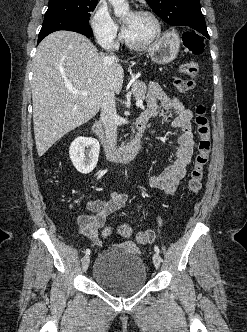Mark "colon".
I'll return each mask as SVG.
<instances>
[{
  "instance_id": "colon-1",
  "label": "colon",
  "mask_w": 247,
  "mask_h": 332,
  "mask_svg": "<svg viewBox=\"0 0 247 332\" xmlns=\"http://www.w3.org/2000/svg\"><path fill=\"white\" fill-rule=\"evenodd\" d=\"M183 44L193 55L201 54L205 48V41L202 35L191 30L183 34ZM179 73L180 77L175 79L174 86L178 93L185 94L192 90L195 85V78L199 73L198 63L194 60L185 62L179 67ZM194 122L198 135V144L194 164L188 180V188L191 193L197 194L202 187L204 168L208 163L211 151L209 120L203 104L197 105ZM111 233L112 230L110 227H105L102 230V235L105 238L109 237ZM118 233L122 237H128L131 234V227L128 224H122L118 229ZM155 237L154 231L144 230L137 234L136 239L141 244H147L153 242Z\"/></svg>"
}]
</instances>
